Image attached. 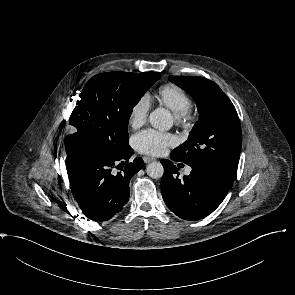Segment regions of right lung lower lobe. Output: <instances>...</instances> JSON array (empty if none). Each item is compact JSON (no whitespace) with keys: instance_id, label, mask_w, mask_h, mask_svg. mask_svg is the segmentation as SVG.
<instances>
[{"instance_id":"1","label":"right lung lower lobe","mask_w":295,"mask_h":295,"mask_svg":"<svg viewBox=\"0 0 295 295\" xmlns=\"http://www.w3.org/2000/svg\"><path fill=\"white\" fill-rule=\"evenodd\" d=\"M132 154L130 146L122 154L89 150L66 163L72 194L87 218L109 220L128 202L130 179L144 166L140 157L129 163Z\"/></svg>"}]
</instances>
